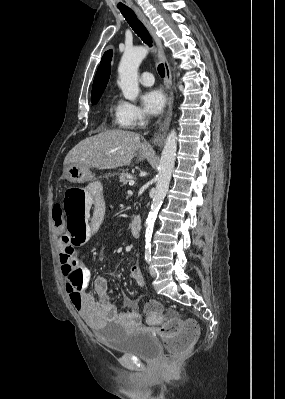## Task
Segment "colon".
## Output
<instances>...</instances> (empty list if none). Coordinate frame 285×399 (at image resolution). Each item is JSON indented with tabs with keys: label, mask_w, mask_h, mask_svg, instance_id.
I'll return each mask as SVG.
<instances>
[{
	"label": "colon",
	"mask_w": 285,
	"mask_h": 399,
	"mask_svg": "<svg viewBox=\"0 0 285 399\" xmlns=\"http://www.w3.org/2000/svg\"><path fill=\"white\" fill-rule=\"evenodd\" d=\"M85 204L86 201H84L82 195L75 190L66 191L60 203L64 225L70 235V245L64 249L60 261L66 277V290L76 306H79L82 302L83 285L81 280H76L73 275L76 267L75 250L87 243L92 237ZM144 311L147 315L154 317L162 314L161 306L155 300L148 301L144 306ZM160 333L168 350L164 357V363L171 365L177 357L190 352L199 336V327L193 321H183L178 316H171L166 320L165 325L160 328Z\"/></svg>",
	"instance_id": "colon-1"
}]
</instances>
